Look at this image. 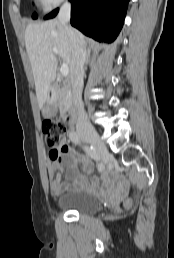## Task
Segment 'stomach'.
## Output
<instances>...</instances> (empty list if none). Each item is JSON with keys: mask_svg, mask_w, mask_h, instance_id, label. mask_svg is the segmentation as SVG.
I'll list each match as a JSON object with an SVG mask.
<instances>
[{"mask_svg": "<svg viewBox=\"0 0 174 258\" xmlns=\"http://www.w3.org/2000/svg\"><path fill=\"white\" fill-rule=\"evenodd\" d=\"M42 113L44 116H49V115H51L52 111L48 107H44L42 109Z\"/></svg>", "mask_w": 174, "mask_h": 258, "instance_id": "stomach-1", "label": "stomach"}]
</instances>
